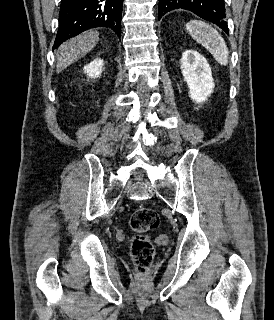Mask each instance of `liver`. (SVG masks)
Segmentation results:
<instances>
[{
	"mask_svg": "<svg viewBox=\"0 0 274 320\" xmlns=\"http://www.w3.org/2000/svg\"><path fill=\"white\" fill-rule=\"evenodd\" d=\"M99 42V32H94V30H88V32H83L80 36L76 38H71L67 40L64 44H61L56 58L58 60L56 66V72H63L67 66H71L83 56H86L88 52H91L95 48L96 44Z\"/></svg>",
	"mask_w": 274,
	"mask_h": 320,
	"instance_id": "1",
	"label": "liver"
}]
</instances>
